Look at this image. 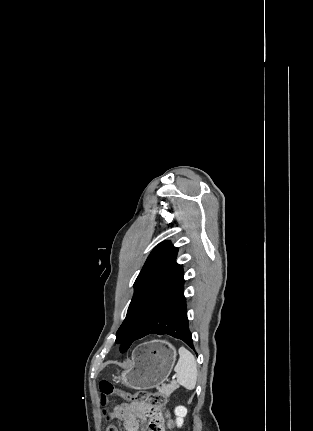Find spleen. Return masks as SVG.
Masks as SVG:
<instances>
[{
	"instance_id": "3e777b00",
	"label": "spleen",
	"mask_w": 313,
	"mask_h": 431,
	"mask_svg": "<svg viewBox=\"0 0 313 431\" xmlns=\"http://www.w3.org/2000/svg\"><path fill=\"white\" fill-rule=\"evenodd\" d=\"M179 360L174 368L177 382L187 390H193L197 382V364L191 352L185 347L179 348Z\"/></svg>"
}]
</instances>
